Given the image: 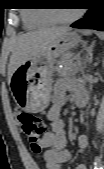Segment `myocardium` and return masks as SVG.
<instances>
[{"instance_id": "myocardium-1", "label": "myocardium", "mask_w": 104, "mask_h": 169, "mask_svg": "<svg viewBox=\"0 0 104 169\" xmlns=\"http://www.w3.org/2000/svg\"><path fill=\"white\" fill-rule=\"evenodd\" d=\"M81 15H82V12L78 10L75 14L67 18L58 17L55 13H51V12L47 14V17L53 23L69 24L79 19Z\"/></svg>"}]
</instances>
